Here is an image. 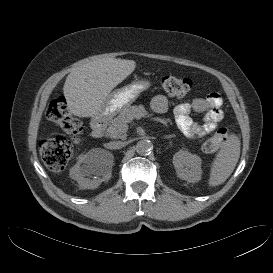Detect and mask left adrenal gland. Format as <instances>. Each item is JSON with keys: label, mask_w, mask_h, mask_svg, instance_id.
Wrapping results in <instances>:
<instances>
[{"label": "left adrenal gland", "mask_w": 273, "mask_h": 273, "mask_svg": "<svg viewBox=\"0 0 273 273\" xmlns=\"http://www.w3.org/2000/svg\"><path fill=\"white\" fill-rule=\"evenodd\" d=\"M172 137H174V135H166V136H164V138H166V139H169V138H172Z\"/></svg>", "instance_id": "a2214340"}]
</instances>
